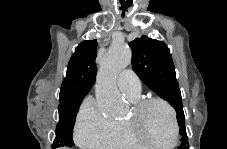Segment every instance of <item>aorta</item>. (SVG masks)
Wrapping results in <instances>:
<instances>
[{
  "label": "aorta",
  "instance_id": "aorta-1",
  "mask_svg": "<svg viewBox=\"0 0 227 149\" xmlns=\"http://www.w3.org/2000/svg\"><path fill=\"white\" fill-rule=\"evenodd\" d=\"M130 62L131 51L124 43L113 44L102 61L95 97L98 110L105 116H116L121 111L123 100L116 86V79Z\"/></svg>",
  "mask_w": 227,
  "mask_h": 149
}]
</instances>
